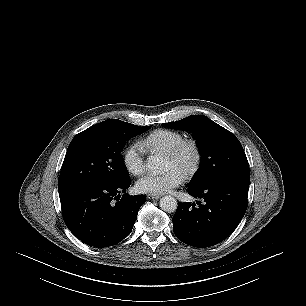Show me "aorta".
<instances>
[{
  "mask_svg": "<svg viewBox=\"0 0 306 306\" xmlns=\"http://www.w3.org/2000/svg\"><path fill=\"white\" fill-rule=\"evenodd\" d=\"M163 165V158L158 155H151L148 159V168L152 172L160 171ZM177 201L174 197L166 195L160 199V207L163 211L172 213L177 209Z\"/></svg>",
  "mask_w": 306,
  "mask_h": 306,
  "instance_id": "aorta-1",
  "label": "aorta"
}]
</instances>
